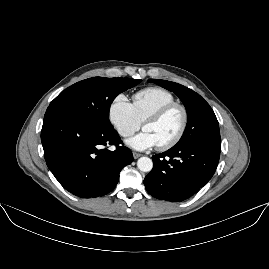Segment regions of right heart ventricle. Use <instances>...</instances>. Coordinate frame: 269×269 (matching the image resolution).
Listing matches in <instances>:
<instances>
[{
  "instance_id": "e07e8e85",
  "label": "right heart ventricle",
  "mask_w": 269,
  "mask_h": 269,
  "mask_svg": "<svg viewBox=\"0 0 269 269\" xmlns=\"http://www.w3.org/2000/svg\"><path fill=\"white\" fill-rule=\"evenodd\" d=\"M175 102L174 95L161 87H152L137 92L132 97V108L140 121L153 110Z\"/></svg>"
}]
</instances>
